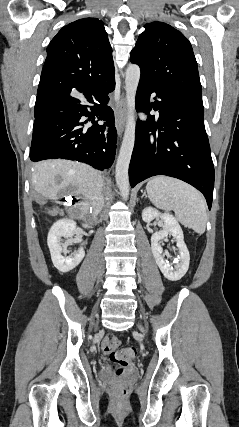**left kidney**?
Masks as SVG:
<instances>
[{"instance_id":"5707ae66","label":"left kidney","mask_w":239,"mask_h":427,"mask_svg":"<svg viewBox=\"0 0 239 427\" xmlns=\"http://www.w3.org/2000/svg\"><path fill=\"white\" fill-rule=\"evenodd\" d=\"M161 218L164 222L163 230L155 232L151 236V249L153 256L156 260L161 272L170 281L180 280L189 268L190 255L187 246L184 242L183 231L177 220L169 213H160L152 207L145 208L142 212V219L144 222H150L155 218ZM172 235L177 242L180 256L175 261L174 267L169 264L163 257V249L160 241L168 235Z\"/></svg>"}]
</instances>
